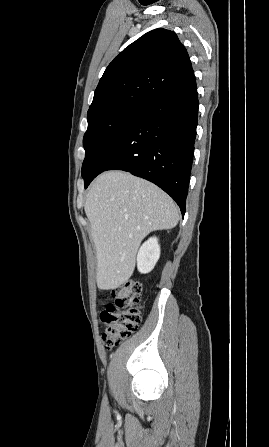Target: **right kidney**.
<instances>
[{"mask_svg": "<svg viewBox=\"0 0 269 447\" xmlns=\"http://www.w3.org/2000/svg\"><path fill=\"white\" fill-rule=\"evenodd\" d=\"M160 257V245L157 237H149L142 243L137 253V267L141 273H149Z\"/></svg>", "mask_w": 269, "mask_h": 447, "instance_id": "ca27d5eb", "label": "right kidney"}]
</instances>
